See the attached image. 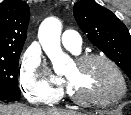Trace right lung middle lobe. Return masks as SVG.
<instances>
[{
    "instance_id": "1",
    "label": "right lung middle lobe",
    "mask_w": 131,
    "mask_h": 115,
    "mask_svg": "<svg viewBox=\"0 0 131 115\" xmlns=\"http://www.w3.org/2000/svg\"><path fill=\"white\" fill-rule=\"evenodd\" d=\"M20 53L0 55V100L20 98V89L17 86Z\"/></svg>"
}]
</instances>
